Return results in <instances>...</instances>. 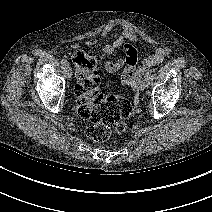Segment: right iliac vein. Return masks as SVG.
Here are the masks:
<instances>
[{
	"label": "right iliac vein",
	"mask_w": 212,
	"mask_h": 212,
	"mask_svg": "<svg viewBox=\"0 0 212 212\" xmlns=\"http://www.w3.org/2000/svg\"><path fill=\"white\" fill-rule=\"evenodd\" d=\"M65 68H66V72H67L68 78L69 79L72 78V69H71V67L69 65H67Z\"/></svg>",
	"instance_id": "right-iliac-vein-1"
}]
</instances>
